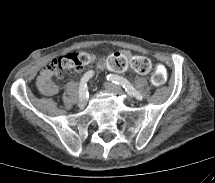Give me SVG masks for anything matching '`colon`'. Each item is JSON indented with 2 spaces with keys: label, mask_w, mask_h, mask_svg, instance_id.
I'll return each mask as SVG.
<instances>
[{
  "label": "colon",
  "mask_w": 215,
  "mask_h": 183,
  "mask_svg": "<svg viewBox=\"0 0 215 183\" xmlns=\"http://www.w3.org/2000/svg\"><path fill=\"white\" fill-rule=\"evenodd\" d=\"M91 61L92 55L87 51L66 53L54 59L51 67L55 73H61L66 69L80 70L89 65ZM168 75V66L164 63H157L152 68L151 82L155 86H160L165 83Z\"/></svg>",
  "instance_id": "colon-1"
}]
</instances>
